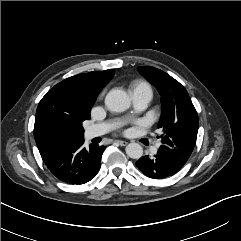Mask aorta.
<instances>
[{"label":"aorta","instance_id":"aorta-1","mask_svg":"<svg viewBox=\"0 0 241 241\" xmlns=\"http://www.w3.org/2000/svg\"><path fill=\"white\" fill-rule=\"evenodd\" d=\"M131 101L128 94L120 89H112L105 97L106 107L113 112H123L130 107ZM126 154L133 159H139L143 155V148L138 143H129L126 146Z\"/></svg>","mask_w":241,"mask_h":241}]
</instances>
